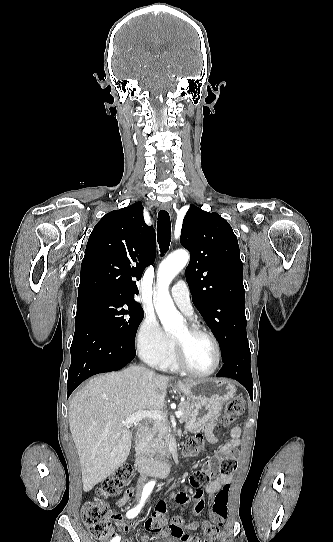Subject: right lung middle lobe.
<instances>
[{"label":"right lung middle lobe","instance_id":"right-lung-middle-lobe-1","mask_svg":"<svg viewBox=\"0 0 333 542\" xmlns=\"http://www.w3.org/2000/svg\"><path fill=\"white\" fill-rule=\"evenodd\" d=\"M91 314L102 320L126 346L135 348V335L144 312L139 304L92 296L77 304V314Z\"/></svg>","mask_w":333,"mask_h":542}]
</instances>
